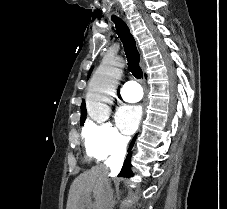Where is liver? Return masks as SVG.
<instances>
[{
    "label": "liver",
    "instance_id": "obj_1",
    "mask_svg": "<svg viewBox=\"0 0 227 209\" xmlns=\"http://www.w3.org/2000/svg\"><path fill=\"white\" fill-rule=\"evenodd\" d=\"M107 173L104 165L103 167H93L91 171L81 173L70 187L66 209H83V203L86 197H89L91 191H93L94 197H97L99 191H101L99 179H104L101 183H105Z\"/></svg>",
    "mask_w": 227,
    "mask_h": 209
}]
</instances>
